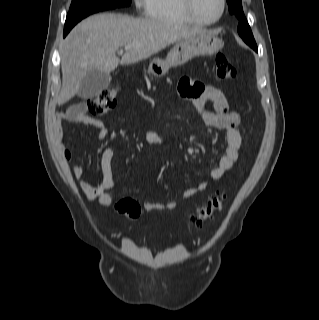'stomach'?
Here are the masks:
<instances>
[{
  "instance_id": "obj_1",
  "label": "stomach",
  "mask_w": 319,
  "mask_h": 320,
  "mask_svg": "<svg viewBox=\"0 0 319 320\" xmlns=\"http://www.w3.org/2000/svg\"><path fill=\"white\" fill-rule=\"evenodd\" d=\"M222 39L211 32H203L175 43L167 54L166 59H153L148 68L151 77L161 78L171 67L182 65L193 57L200 55L211 56L222 47Z\"/></svg>"
}]
</instances>
